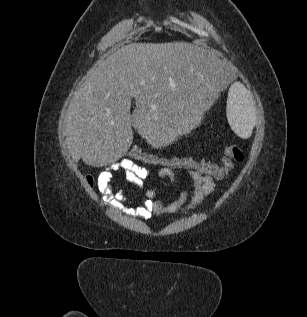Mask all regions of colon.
<instances>
[{
	"label": "colon",
	"instance_id": "colon-1",
	"mask_svg": "<svg viewBox=\"0 0 307 317\" xmlns=\"http://www.w3.org/2000/svg\"><path fill=\"white\" fill-rule=\"evenodd\" d=\"M122 159L131 162H139L152 167L168 168L171 170L185 169L195 171L212 178H223L233 168V162L244 160L243 151L237 146H229L225 149L224 155L219 162H212L190 156L168 155L152 152L138 146H130ZM87 181L93 185L92 176H87Z\"/></svg>",
	"mask_w": 307,
	"mask_h": 317
}]
</instances>
